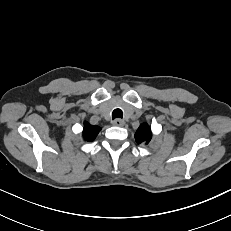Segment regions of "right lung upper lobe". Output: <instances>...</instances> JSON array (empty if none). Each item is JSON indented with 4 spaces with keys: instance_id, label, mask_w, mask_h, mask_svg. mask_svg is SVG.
Listing matches in <instances>:
<instances>
[{
    "instance_id": "cb5924a9",
    "label": "right lung upper lobe",
    "mask_w": 231,
    "mask_h": 231,
    "mask_svg": "<svg viewBox=\"0 0 231 231\" xmlns=\"http://www.w3.org/2000/svg\"><path fill=\"white\" fill-rule=\"evenodd\" d=\"M100 131V127L98 126H91L89 123H84V129H83V136L88 141H93L97 134Z\"/></svg>"
}]
</instances>
